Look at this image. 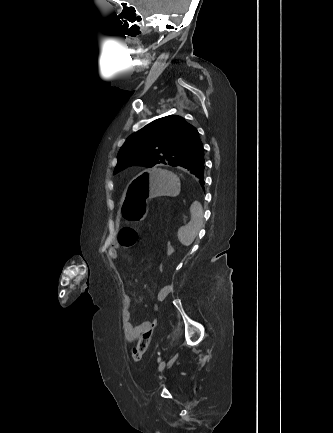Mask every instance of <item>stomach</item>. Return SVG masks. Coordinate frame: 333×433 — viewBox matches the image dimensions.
<instances>
[{"mask_svg":"<svg viewBox=\"0 0 333 433\" xmlns=\"http://www.w3.org/2000/svg\"><path fill=\"white\" fill-rule=\"evenodd\" d=\"M135 181L127 189L122 206V218L130 224H141L147 215L150 198L165 195H169L170 199L180 197V181L173 169H143Z\"/></svg>","mask_w":333,"mask_h":433,"instance_id":"1","label":"stomach"}]
</instances>
